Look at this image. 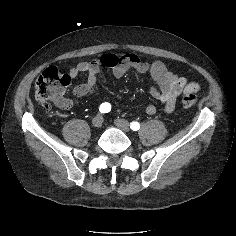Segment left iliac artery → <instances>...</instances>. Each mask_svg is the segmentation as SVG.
Returning <instances> with one entry per match:
<instances>
[{"instance_id":"44dca946","label":"left iliac artery","mask_w":236,"mask_h":236,"mask_svg":"<svg viewBox=\"0 0 236 236\" xmlns=\"http://www.w3.org/2000/svg\"><path fill=\"white\" fill-rule=\"evenodd\" d=\"M130 128L133 130V131H137L140 129V124L138 122H132L130 124Z\"/></svg>"}]
</instances>
